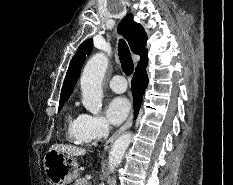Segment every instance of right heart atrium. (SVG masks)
<instances>
[{"label": "right heart atrium", "instance_id": "d8ad5b80", "mask_svg": "<svg viewBox=\"0 0 233 185\" xmlns=\"http://www.w3.org/2000/svg\"><path fill=\"white\" fill-rule=\"evenodd\" d=\"M81 136L86 143L100 140L108 134L109 127L106 120L97 115L82 114Z\"/></svg>", "mask_w": 233, "mask_h": 185}]
</instances>
